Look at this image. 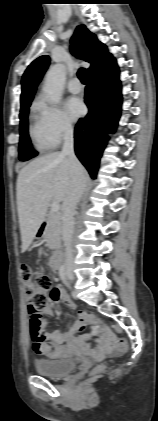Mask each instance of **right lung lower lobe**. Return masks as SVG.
Returning <instances> with one entry per match:
<instances>
[{
  "label": "right lung lower lobe",
  "mask_w": 158,
  "mask_h": 421,
  "mask_svg": "<svg viewBox=\"0 0 158 421\" xmlns=\"http://www.w3.org/2000/svg\"><path fill=\"white\" fill-rule=\"evenodd\" d=\"M118 76L119 69L113 57L89 75L85 89L89 113L75 127V152L92 178H96L107 133L115 131L120 117L122 97Z\"/></svg>",
  "instance_id": "1"
}]
</instances>
